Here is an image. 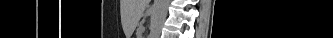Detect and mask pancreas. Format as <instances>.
<instances>
[{
    "instance_id": "cf45deb5",
    "label": "pancreas",
    "mask_w": 333,
    "mask_h": 38,
    "mask_svg": "<svg viewBox=\"0 0 333 38\" xmlns=\"http://www.w3.org/2000/svg\"><path fill=\"white\" fill-rule=\"evenodd\" d=\"M140 32L143 31V26H139V29H138Z\"/></svg>"
}]
</instances>
